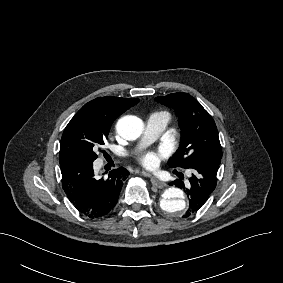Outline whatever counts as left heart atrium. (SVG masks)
<instances>
[{
  "mask_svg": "<svg viewBox=\"0 0 283 283\" xmlns=\"http://www.w3.org/2000/svg\"><path fill=\"white\" fill-rule=\"evenodd\" d=\"M167 155L165 150L159 152L148 151L140 155L139 162L140 164L148 170H155L160 160Z\"/></svg>",
  "mask_w": 283,
  "mask_h": 283,
  "instance_id": "obj_1",
  "label": "left heart atrium"
}]
</instances>
